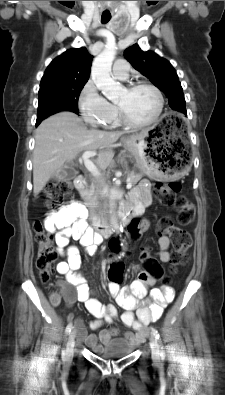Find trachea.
Returning a JSON list of instances; mask_svg holds the SVG:
<instances>
[{
	"label": "trachea",
	"instance_id": "trachea-1",
	"mask_svg": "<svg viewBox=\"0 0 225 395\" xmlns=\"http://www.w3.org/2000/svg\"><path fill=\"white\" fill-rule=\"evenodd\" d=\"M111 19V15L110 14H102L101 16V22L102 23H108Z\"/></svg>",
	"mask_w": 225,
	"mask_h": 395
}]
</instances>
